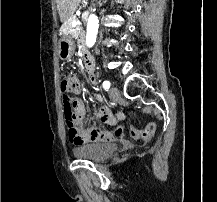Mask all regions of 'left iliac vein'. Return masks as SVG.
I'll return each instance as SVG.
<instances>
[{
	"label": "left iliac vein",
	"mask_w": 217,
	"mask_h": 202,
	"mask_svg": "<svg viewBox=\"0 0 217 202\" xmlns=\"http://www.w3.org/2000/svg\"><path fill=\"white\" fill-rule=\"evenodd\" d=\"M109 95L112 99H117L120 96V93L116 87H111L109 90Z\"/></svg>",
	"instance_id": "left-iliac-vein-1"
}]
</instances>
